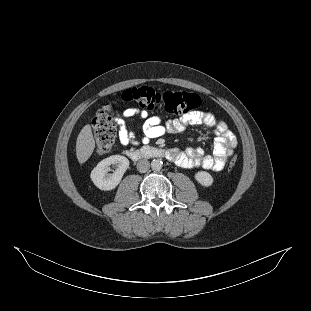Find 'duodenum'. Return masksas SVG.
<instances>
[{"label":"duodenum","instance_id":"1","mask_svg":"<svg viewBox=\"0 0 311 311\" xmlns=\"http://www.w3.org/2000/svg\"><path fill=\"white\" fill-rule=\"evenodd\" d=\"M125 155L133 161H138L142 159H172V153L170 150L158 147L146 146L141 149L126 150Z\"/></svg>","mask_w":311,"mask_h":311}]
</instances>
